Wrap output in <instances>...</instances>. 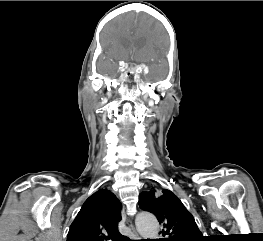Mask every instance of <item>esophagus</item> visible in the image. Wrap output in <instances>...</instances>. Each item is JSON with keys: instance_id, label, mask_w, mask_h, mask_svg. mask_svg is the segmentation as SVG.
I'll return each instance as SVG.
<instances>
[{"instance_id": "1", "label": "esophagus", "mask_w": 263, "mask_h": 241, "mask_svg": "<svg viewBox=\"0 0 263 241\" xmlns=\"http://www.w3.org/2000/svg\"><path fill=\"white\" fill-rule=\"evenodd\" d=\"M133 240L134 241H141V238H140V236L137 233H135L134 236H133Z\"/></svg>"}]
</instances>
